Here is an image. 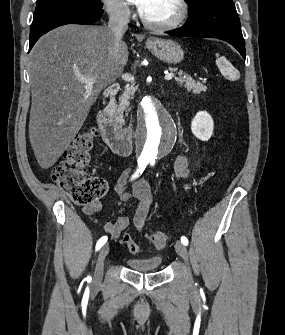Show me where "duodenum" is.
Masks as SVG:
<instances>
[{
  "label": "duodenum",
  "instance_id": "obj_1",
  "mask_svg": "<svg viewBox=\"0 0 285 335\" xmlns=\"http://www.w3.org/2000/svg\"><path fill=\"white\" fill-rule=\"evenodd\" d=\"M119 88L118 84H112L105 91L102 107L97 114V125L109 148L120 156H127L133 150V130L120 125L113 115V99Z\"/></svg>",
  "mask_w": 285,
  "mask_h": 335
}]
</instances>
